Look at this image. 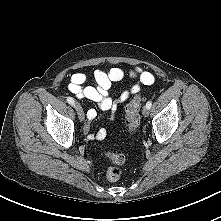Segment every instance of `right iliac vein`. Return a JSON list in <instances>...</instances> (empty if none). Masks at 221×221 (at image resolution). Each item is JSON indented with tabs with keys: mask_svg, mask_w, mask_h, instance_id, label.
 <instances>
[{
	"mask_svg": "<svg viewBox=\"0 0 221 221\" xmlns=\"http://www.w3.org/2000/svg\"><path fill=\"white\" fill-rule=\"evenodd\" d=\"M74 105H75V109H76V112H77V115H78L79 119L81 121H84L85 116H84V111H83L81 105L77 102Z\"/></svg>",
	"mask_w": 221,
	"mask_h": 221,
	"instance_id": "1",
	"label": "right iliac vein"
}]
</instances>
